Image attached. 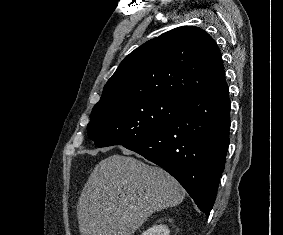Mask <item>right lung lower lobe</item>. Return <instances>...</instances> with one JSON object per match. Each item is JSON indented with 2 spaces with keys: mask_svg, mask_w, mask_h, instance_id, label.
<instances>
[{
  "mask_svg": "<svg viewBox=\"0 0 283 235\" xmlns=\"http://www.w3.org/2000/svg\"><path fill=\"white\" fill-rule=\"evenodd\" d=\"M227 83L183 99L173 118L157 132L123 145L162 167L209 215L229 146Z\"/></svg>",
  "mask_w": 283,
  "mask_h": 235,
  "instance_id": "98d812e1",
  "label": "right lung lower lobe"
}]
</instances>
